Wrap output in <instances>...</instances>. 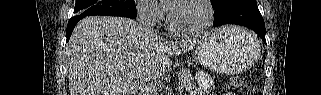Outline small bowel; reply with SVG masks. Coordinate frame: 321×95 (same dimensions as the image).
I'll use <instances>...</instances> for the list:
<instances>
[{
  "instance_id": "small-bowel-1",
  "label": "small bowel",
  "mask_w": 321,
  "mask_h": 95,
  "mask_svg": "<svg viewBox=\"0 0 321 95\" xmlns=\"http://www.w3.org/2000/svg\"><path fill=\"white\" fill-rule=\"evenodd\" d=\"M226 95H231V93H227Z\"/></svg>"
}]
</instances>
